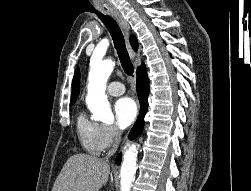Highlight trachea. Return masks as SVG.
<instances>
[{"label":"trachea","instance_id":"obj_1","mask_svg":"<svg viewBox=\"0 0 251 191\" xmlns=\"http://www.w3.org/2000/svg\"><path fill=\"white\" fill-rule=\"evenodd\" d=\"M107 27L116 48L120 63L126 75L133 76L134 66L125 46V40L118 23L110 15H98Z\"/></svg>","mask_w":251,"mask_h":191}]
</instances>
